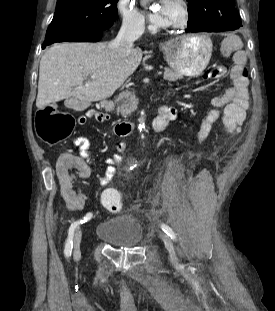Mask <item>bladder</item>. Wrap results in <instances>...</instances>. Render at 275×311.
I'll return each mask as SVG.
<instances>
[{"mask_svg": "<svg viewBox=\"0 0 275 311\" xmlns=\"http://www.w3.org/2000/svg\"><path fill=\"white\" fill-rule=\"evenodd\" d=\"M96 235L112 247L135 248L143 243L144 231L135 214L121 212L101 221Z\"/></svg>", "mask_w": 275, "mask_h": 311, "instance_id": "31cf9c89", "label": "bladder"}]
</instances>
